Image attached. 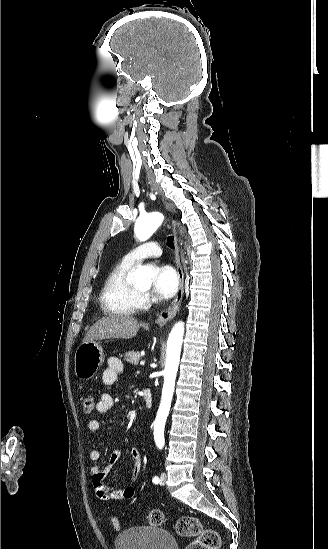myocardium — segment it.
<instances>
[{
  "instance_id": "f54148a6",
  "label": "myocardium",
  "mask_w": 328,
  "mask_h": 549,
  "mask_svg": "<svg viewBox=\"0 0 328 549\" xmlns=\"http://www.w3.org/2000/svg\"><path fill=\"white\" fill-rule=\"evenodd\" d=\"M143 266L149 267V268H153V265L150 264V263H147V264H145V265H143ZM132 287H133L134 293H135L140 299H142V300L145 301V299H146V297H147V292L142 291V290H141L140 288H138L135 284H133ZM144 305H145V303H144ZM144 305H143V306H144Z\"/></svg>"
}]
</instances>
